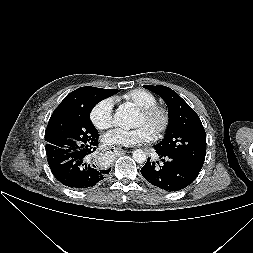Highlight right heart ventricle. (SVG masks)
Returning a JSON list of instances; mask_svg holds the SVG:
<instances>
[{"label": "right heart ventricle", "instance_id": "e07e8e85", "mask_svg": "<svg viewBox=\"0 0 253 253\" xmlns=\"http://www.w3.org/2000/svg\"><path fill=\"white\" fill-rule=\"evenodd\" d=\"M123 98L138 108L148 107L157 103L156 96L144 89H134L126 93Z\"/></svg>", "mask_w": 253, "mask_h": 253}]
</instances>
